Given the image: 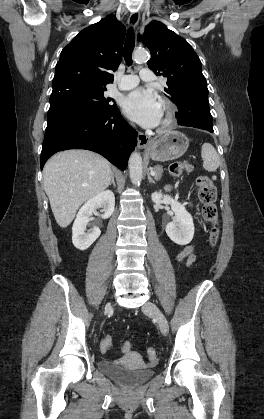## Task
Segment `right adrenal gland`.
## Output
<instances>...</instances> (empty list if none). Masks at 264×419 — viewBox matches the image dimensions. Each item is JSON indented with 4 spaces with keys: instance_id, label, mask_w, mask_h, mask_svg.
Segmentation results:
<instances>
[{
    "instance_id": "obj_1",
    "label": "right adrenal gland",
    "mask_w": 264,
    "mask_h": 419,
    "mask_svg": "<svg viewBox=\"0 0 264 419\" xmlns=\"http://www.w3.org/2000/svg\"><path fill=\"white\" fill-rule=\"evenodd\" d=\"M113 184L114 187H116L115 181H114V174L112 173L111 182L109 185Z\"/></svg>"
}]
</instances>
